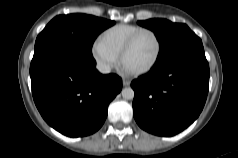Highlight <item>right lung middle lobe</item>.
<instances>
[{
  "instance_id": "obj_1",
  "label": "right lung middle lobe",
  "mask_w": 238,
  "mask_h": 158,
  "mask_svg": "<svg viewBox=\"0 0 238 158\" xmlns=\"http://www.w3.org/2000/svg\"><path fill=\"white\" fill-rule=\"evenodd\" d=\"M115 22L86 14L59 15L38 35L35 49L50 41L62 42L76 51L92 56L96 37Z\"/></svg>"
}]
</instances>
